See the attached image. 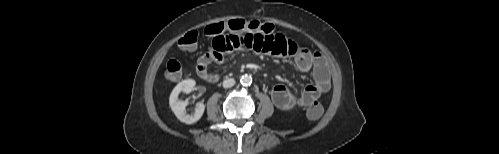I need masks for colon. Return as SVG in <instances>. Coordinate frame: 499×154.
<instances>
[{
    "label": "colon",
    "instance_id": "5ec220e1",
    "mask_svg": "<svg viewBox=\"0 0 499 154\" xmlns=\"http://www.w3.org/2000/svg\"><path fill=\"white\" fill-rule=\"evenodd\" d=\"M205 33L208 36L215 37L226 31L232 32H243V31H254L261 32L264 34L275 33V27L273 24L268 22H262L258 20H245V19H232L227 22H218L210 24L205 28ZM198 40V33L196 31L187 32L179 40V46L184 50H190L195 48ZM165 76L169 81H176L182 76V64L179 59H171L166 64ZM323 106L317 102H312L307 109V116L316 120L319 119L323 114Z\"/></svg>",
    "mask_w": 499,
    "mask_h": 154
}]
</instances>
